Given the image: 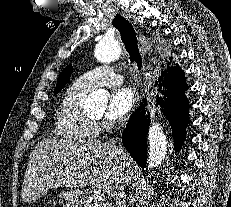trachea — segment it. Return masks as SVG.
Listing matches in <instances>:
<instances>
[{
	"label": "trachea",
	"mask_w": 231,
	"mask_h": 207,
	"mask_svg": "<svg viewBox=\"0 0 231 207\" xmlns=\"http://www.w3.org/2000/svg\"><path fill=\"white\" fill-rule=\"evenodd\" d=\"M112 24L120 32L122 42L129 54L130 61L136 63L140 70L142 67V57L139 52L138 40L133 26L128 20L118 14L113 19Z\"/></svg>",
	"instance_id": "trachea-1"
}]
</instances>
